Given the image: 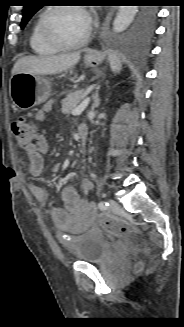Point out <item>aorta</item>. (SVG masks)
Here are the masks:
<instances>
[{
	"label": "aorta",
	"mask_w": 184,
	"mask_h": 327,
	"mask_svg": "<svg viewBox=\"0 0 184 327\" xmlns=\"http://www.w3.org/2000/svg\"><path fill=\"white\" fill-rule=\"evenodd\" d=\"M138 12L137 6H120L117 16L113 22L115 32H122V29H127L133 22Z\"/></svg>",
	"instance_id": "1"
}]
</instances>
